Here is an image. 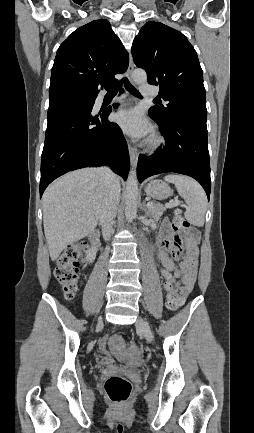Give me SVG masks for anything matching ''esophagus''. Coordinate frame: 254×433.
I'll return each mask as SVG.
<instances>
[{"mask_svg": "<svg viewBox=\"0 0 254 433\" xmlns=\"http://www.w3.org/2000/svg\"><path fill=\"white\" fill-rule=\"evenodd\" d=\"M133 69H134V62H133L132 56L130 55L129 66L127 69V76H128L130 81H132ZM128 150H129V156H130L131 164L133 167H135L137 164L138 155H139L138 150L130 144H128Z\"/></svg>", "mask_w": 254, "mask_h": 433, "instance_id": "obj_1", "label": "esophagus"}]
</instances>
